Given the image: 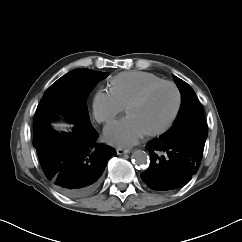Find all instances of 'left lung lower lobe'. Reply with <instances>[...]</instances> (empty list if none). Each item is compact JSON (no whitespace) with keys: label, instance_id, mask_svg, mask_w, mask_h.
Segmentation results:
<instances>
[{"label":"left lung lower lobe","instance_id":"0a47b994","mask_svg":"<svg viewBox=\"0 0 242 242\" xmlns=\"http://www.w3.org/2000/svg\"><path fill=\"white\" fill-rule=\"evenodd\" d=\"M205 140H171L162 135L149 143L150 166L141 174L153 190L167 191L183 187L197 172Z\"/></svg>","mask_w":242,"mask_h":242}]
</instances>
